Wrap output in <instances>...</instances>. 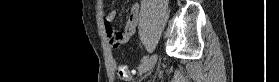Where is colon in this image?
Here are the masks:
<instances>
[{
	"label": "colon",
	"instance_id": "obj_1",
	"mask_svg": "<svg viewBox=\"0 0 279 82\" xmlns=\"http://www.w3.org/2000/svg\"><path fill=\"white\" fill-rule=\"evenodd\" d=\"M118 75L123 81L129 82L132 80L133 68L128 65L121 64L118 66Z\"/></svg>",
	"mask_w": 279,
	"mask_h": 82
}]
</instances>
